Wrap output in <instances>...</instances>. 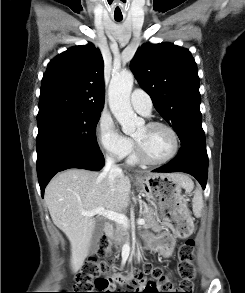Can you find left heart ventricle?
I'll use <instances>...</instances> for the list:
<instances>
[{
  "mask_svg": "<svg viewBox=\"0 0 245 293\" xmlns=\"http://www.w3.org/2000/svg\"><path fill=\"white\" fill-rule=\"evenodd\" d=\"M143 154L151 160H160L172 150L171 134L164 128L141 126L134 134Z\"/></svg>",
  "mask_w": 245,
  "mask_h": 293,
  "instance_id": "left-heart-ventricle-1",
  "label": "left heart ventricle"
}]
</instances>
